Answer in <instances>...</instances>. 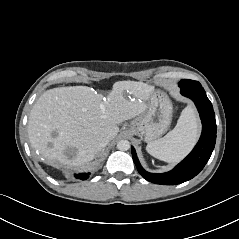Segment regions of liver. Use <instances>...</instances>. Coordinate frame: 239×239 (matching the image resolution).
Masks as SVG:
<instances>
[{"instance_id":"6515ba94","label":"liver","mask_w":239,"mask_h":239,"mask_svg":"<svg viewBox=\"0 0 239 239\" xmlns=\"http://www.w3.org/2000/svg\"><path fill=\"white\" fill-rule=\"evenodd\" d=\"M153 92V86L136 81L115 82L106 97L87 86L49 89L29 114L31 146L50 163L86 165L100 151L101 139L111 141L117 136V124L147 109L145 101ZM68 149L75 151L72 158L66 154Z\"/></svg>"}]
</instances>
